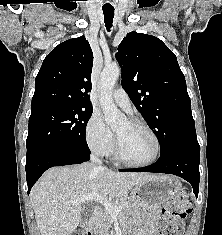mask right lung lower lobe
<instances>
[{
  "instance_id": "1",
  "label": "right lung lower lobe",
  "mask_w": 222,
  "mask_h": 235,
  "mask_svg": "<svg viewBox=\"0 0 222 235\" xmlns=\"http://www.w3.org/2000/svg\"><path fill=\"white\" fill-rule=\"evenodd\" d=\"M90 152L58 149L44 152L26 162L28 194L39 177L50 167L79 164L90 159Z\"/></svg>"
}]
</instances>
